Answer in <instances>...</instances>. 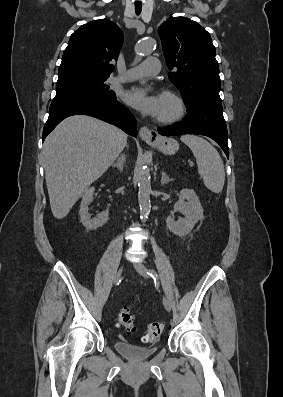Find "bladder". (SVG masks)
Wrapping results in <instances>:
<instances>
[{
    "instance_id": "bladder-1",
    "label": "bladder",
    "mask_w": 283,
    "mask_h": 397,
    "mask_svg": "<svg viewBox=\"0 0 283 397\" xmlns=\"http://www.w3.org/2000/svg\"><path fill=\"white\" fill-rule=\"evenodd\" d=\"M114 347L118 353L133 360H145L158 350L157 346L141 347L127 341H118Z\"/></svg>"
}]
</instances>
